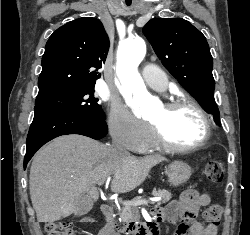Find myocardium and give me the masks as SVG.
Returning a JSON list of instances; mask_svg holds the SVG:
<instances>
[{"mask_svg": "<svg viewBox=\"0 0 250 235\" xmlns=\"http://www.w3.org/2000/svg\"><path fill=\"white\" fill-rule=\"evenodd\" d=\"M181 107H191L193 108L201 117L203 123V134L199 141L191 145H176L171 143L165 136L163 129L156 124L150 123L152 136L154 137L158 146L166 151L170 152H192L195 151L206 144L209 140L211 125L210 119L206 110L202 105L194 99L191 98H178L170 100L165 103L164 108L167 112H171L175 109Z\"/></svg>", "mask_w": 250, "mask_h": 235, "instance_id": "obj_1", "label": "myocardium"}]
</instances>
